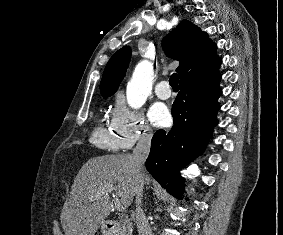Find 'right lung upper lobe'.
Instances as JSON below:
<instances>
[{"instance_id":"right-lung-upper-lobe-1","label":"right lung upper lobe","mask_w":283,"mask_h":235,"mask_svg":"<svg viewBox=\"0 0 283 235\" xmlns=\"http://www.w3.org/2000/svg\"><path fill=\"white\" fill-rule=\"evenodd\" d=\"M162 45L169 57L180 61L177 68L180 83L207 76L218 70L221 64L216 55V44L188 20H183L167 35ZM130 55V48L123 47L110 58L100 83V91L104 98L117 90L125 76Z\"/></svg>"}]
</instances>
